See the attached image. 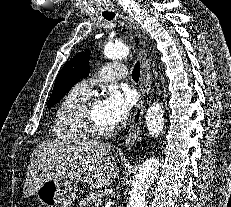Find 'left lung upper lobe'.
<instances>
[{
	"label": "left lung upper lobe",
	"mask_w": 231,
	"mask_h": 207,
	"mask_svg": "<svg viewBox=\"0 0 231 207\" xmlns=\"http://www.w3.org/2000/svg\"><path fill=\"white\" fill-rule=\"evenodd\" d=\"M89 59L90 51H85L76 54L73 59L65 63L55 80L54 88L47 104L48 108L58 103L78 80L88 75Z\"/></svg>",
	"instance_id": "1"
}]
</instances>
